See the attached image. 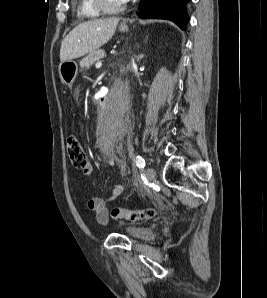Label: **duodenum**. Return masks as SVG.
Segmentation results:
<instances>
[{
	"label": "duodenum",
	"mask_w": 267,
	"mask_h": 298,
	"mask_svg": "<svg viewBox=\"0 0 267 298\" xmlns=\"http://www.w3.org/2000/svg\"><path fill=\"white\" fill-rule=\"evenodd\" d=\"M109 95H111L110 92H108L102 98H97V103L99 104H95V112H102V109H107V105H109L108 103Z\"/></svg>",
	"instance_id": "410a0bca"
}]
</instances>
